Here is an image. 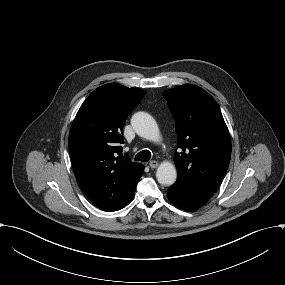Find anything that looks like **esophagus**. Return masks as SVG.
Here are the masks:
<instances>
[{
	"label": "esophagus",
	"instance_id": "obj_1",
	"mask_svg": "<svg viewBox=\"0 0 285 285\" xmlns=\"http://www.w3.org/2000/svg\"><path fill=\"white\" fill-rule=\"evenodd\" d=\"M158 162L157 161H150L149 162V166L151 167V168H157L158 167Z\"/></svg>",
	"mask_w": 285,
	"mask_h": 285
}]
</instances>
